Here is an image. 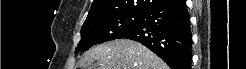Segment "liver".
<instances>
[{
    "label": "liver",
    "instance_id": "6515ba94",
    "mask_svg": "<svg viewBox=\"0 0 246 69\" xmlns=\"http://www.w3.org/2000/svg\"><path fill=\"white\" fill-rule=\"evenodd\" d=\"M168 69L157 55L135 41L120 39L91 48L84 55L82 69Z\"/></svg>",
    "mask_w": 246,
    "mask_h": 69
}]
</instances>
